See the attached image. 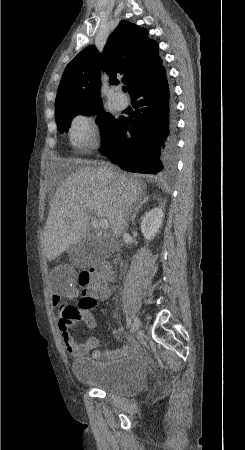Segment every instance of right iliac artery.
<instances>
[{
  "instance_id": "right-iliac-artery-1",
  "label": "right iliac artery",
  "mask_w": 245,
  "mask_h": 450,
  "mask_svg": "<svg viewBox=\"0 0 245 450\" xmlns=\"http://www.w3.org/2000/svg\"><path fill=\"white\" fill-rule=\"evenodd\" d=\"M126 321H127V328H129L131 325V319L129 316L126 317Z\"/></svg>"
}]
</instances>
